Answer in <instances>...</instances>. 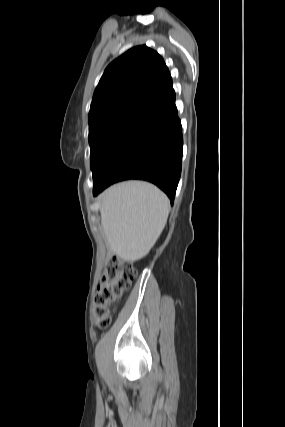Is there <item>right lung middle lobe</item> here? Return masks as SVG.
Masks as SVG:
<instances>
[{
  "label": "right lung middle lobe",
  "instance_id": "obj_1",
  "mask_svg": "<svg viewBox=\"0 0 285 427\" xmlns=\"http://www.w3.org/2000/svg\"><path fill=\"white\" fill-rule=\"evenodd\" d=\"M144 111L122 110L89 123L91 169L95 177Z\"/></svg>",
  "mask_w": 285,
  "mask_h": 427
}]
</instances>
